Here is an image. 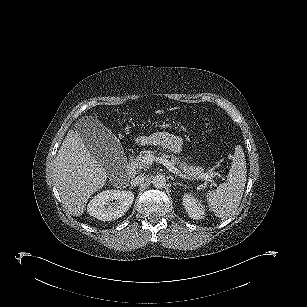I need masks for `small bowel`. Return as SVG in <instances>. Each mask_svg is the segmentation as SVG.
Instances as JSON below:
<instances>
[{"instance_id":"obj_1","label":"small bowel","mask_w":307,"mask_h":307,"mask_svg":"<svg viewBox=\"0 0 307 307\" xmlns=\"http://www.w3.org/2000/svg\"><path fill=\"white\" fill-rule=\"evenodd\" d=\"M158 139L161 145L170 149L171 151L175 153L181 151V140L176 136L169 133H161Z\"/></svg>"}]
</instances>
